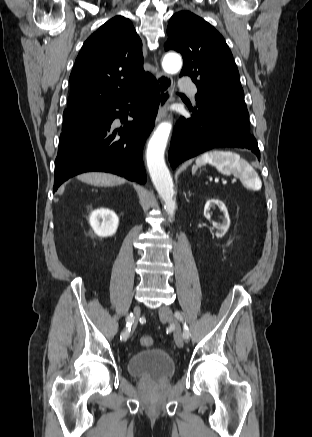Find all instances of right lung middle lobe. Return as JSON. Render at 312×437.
Listing matches in <instances>:
<instances>
[{
    "instance_id": "dd1d6c3e",
    "label": "right lung middle lobe",
    "mask_w": 312,
    "mask_h": 437,
    "mask_svg": "<svg viewBox=\"0 0 312 437\" xmlns=\"http://www.w3.org/2000/svg\"><path fill=\"white\" fill-rule=\"evenodd\" d=\"M101 114V110H74L63 114L62 131L74 128Z\"/></svg>"
}]
</instances>
